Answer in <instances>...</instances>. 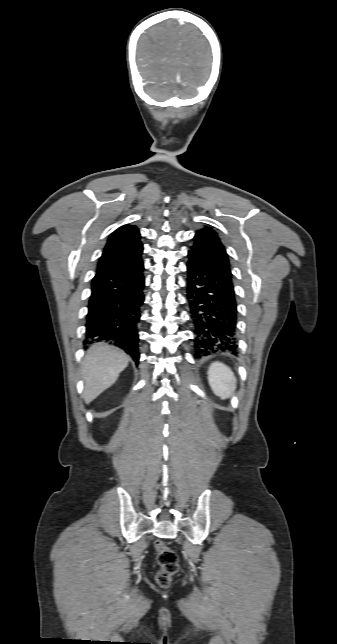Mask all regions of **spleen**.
Listing matches in <instances>:
<instances>
[{"label": "spleen", "mask_w": 337, "mask_h": 644, "mask_svg": "<svg viewBox=\"0 0 337 644\" xmlns=\"http://www.w3.org/2000/svg\"><path fill=\"white\" fill-rule=\"evenodd\" d=\"M208 381L212 391L222 399L229 398L237 386V379L233 371L221 362H214L210 365Z\"/></svg>", "instance_id": "spleen-1"}]
</instances>
